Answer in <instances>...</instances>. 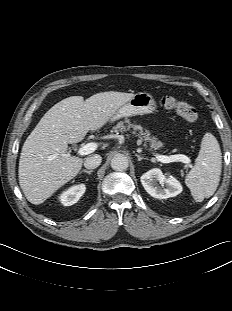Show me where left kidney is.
Masks as SVG:
<instances>
[{
  "mask_svg": "<svg viewBox=\"0 0 232 311\" xmlns=\"http://www.w3.org/2000/svg\"><path fill=\"white\" fill-rule=\"evenodd\" d=\"M141 183L148 194L157 199L174 197L182 192V186L176 178L164 175L157 168L144 173L141 176Z\"/></svg>",
  "mask_w": 232,
  "mask_h": 311,
  "instance_id": "1",
  "label": "left kidney"
}]
</instances>
